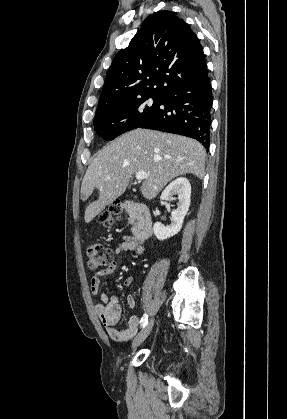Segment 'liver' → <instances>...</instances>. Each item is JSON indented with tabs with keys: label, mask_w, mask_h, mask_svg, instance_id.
<instances>
[{
	"label": "liver",
	"mask_w": 287,
	"mask_h": 419,
	"mask_svg": "<svg viewBox=\"0 0 287 419\" xmlns=\"http://www.w3.org/2000/svg\"><path fill=\"white\" fill-rule=\"evenodd\" d=\"M205 157L204 147L185 136L140 128L121 135L94 158L83 178V201L99 190V198L86 207L85 222L121 196L137 172H146L140 190L144 198L153 199L175 177L191 173L202 179Z\"/></svg>",
	"instance_id": "liver-1"
}]
</instances>
